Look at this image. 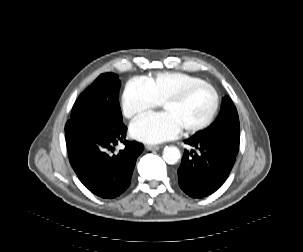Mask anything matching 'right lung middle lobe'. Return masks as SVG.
Here are the masks:
<instances>
[{
    "label": "right lung middle lobe",
    "instance_id": "dd1d6c3e",
    "mask_svg": "<svg viewBox=\"0 0 303 252\" xmlns=\"http://www.w3.org/2000/svg\"><path fill=\"white\" fill-rule=\"evenodd\" d=\"M119 87L118 76L100 75L75 102L70 122L77 120L112 128L124 127L119 106Z\"/></svg>",
    "mask_w": 303,
    "mask_h": 252
}]
</instances>
